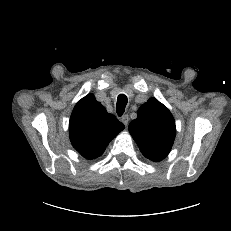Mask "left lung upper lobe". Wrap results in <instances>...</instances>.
<instances>
[{"label": "left lung upper lobe", "mask_w": 231, "mask_h": 231, "mask_svg": "<svg viewBox=\"0 0 231 231\" xmlns=\"http://www.w3.org/2000/svg\"><path fill=\"white\" fill-rule=\"evenodd\" d=\"M129 132L148 159L158 162L170 152L175 135V120L162 103L150 98L138 110L135 120L129 124Z\"/></svg>", "instance_id": "5c2ea615"}]
</instances>
